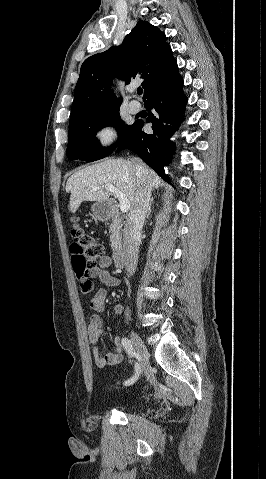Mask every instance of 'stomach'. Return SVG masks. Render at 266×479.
<instances>
[{
    "mask_svg": "<svg viewBox=\"0 0 266 479\" xmlns=\"http://www.w3.org/2000/svg\"><path fill=\"white\" fill-rule=\"evenodd\" d=\"M91 210L98 220L105 221L111 215V204L107 201H97L92 205Z\"/></svg>",
    "mask_w": 266,
    "mask_h": 479,
    "instance_id": "obj_1",
    "label": "stomach"
}]
</instances>
